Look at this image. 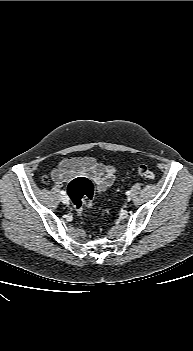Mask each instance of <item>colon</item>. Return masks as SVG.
I'll return each mask as SVG.
<instances>
[{
  "mask_svg": "<svg viewBox=\"0 0 193 351\" xmlns=\"http://www.w3.org/2000/svg\"><path fill=\"white\" fill-rule=\"evenodd\" d=\"M137 173L143 179L155 178V173L144 164L138 166ZM67 192L78 215L81 216L84 210L92 205L94 185L89 178L83 176L73 178L67 186Z\"/></svg>",
  "mask_w": 193,
  "mask_h": 351,
  "instance_id": "obj_1",
  "label": "colon"
}]
</instances>
